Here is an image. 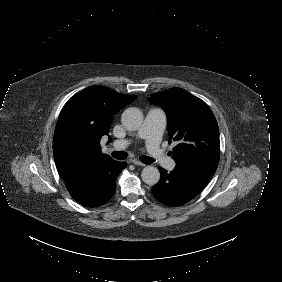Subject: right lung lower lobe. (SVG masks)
<instances>
[{
	"label": "right lung lower lobe",
	"mask_w": 282,
	"mask_h": 282,
	"mask_svg": "<svg viewBox=\"0 0 282 282\" xmlns=\"http://www.w3.org/2000/svg\"><path fill=\"white\" fill-rule=\"evenodd\" d=\"M126 162L104 160L63 180L71 196L86 207H98L111 199L116 190V177Z\"/></svg>",
	"instance_id": "right-lung-lower-lobe-1"
}]
</instances>
